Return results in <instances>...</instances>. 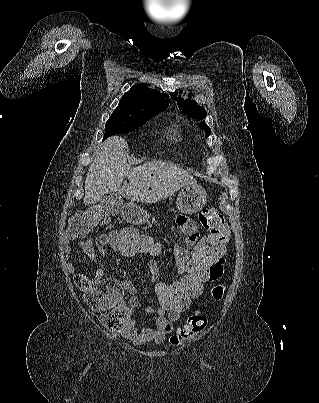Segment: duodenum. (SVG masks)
I'll return each instance as SVG.
<instances>
[{
  "label": "duodenum",
  "instance_id": "duodenum-1",
  "mask_svg": "<svg viewBox=\"0 0 319 403\" xmlns=\"http://www.w3.org/2000/svg\"><path fill=\"white\" fill-rule=\"evenodd\" d=\"M133 211H134V207H132V206H125L124 207V214L126 216L132 215Z\"/></svg>",
  "mask_w": 319,
  "mask_h": 403
}]
</instances>
